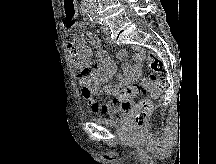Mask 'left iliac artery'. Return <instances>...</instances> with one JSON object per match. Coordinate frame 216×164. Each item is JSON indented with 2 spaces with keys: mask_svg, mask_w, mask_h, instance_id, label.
Masks as SVG:
<instances>
[{
  "mask_svg": "<svg viewBox=\"0 0 216 164\" xmlns=\"http://www.w3.org/2000/svg\"><path fill=\"white\" fill-rule=\"evenodd\" d=\"M95 22H96V23H99V24H102V19L96 18V19H95Z\"/></svg>",
  "mask_w": 216,
  "mask_h": 164,
  "instance_id": "left-iliac-artery-1",
  "label": "left iliac artery"
}]
</instances>
